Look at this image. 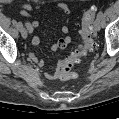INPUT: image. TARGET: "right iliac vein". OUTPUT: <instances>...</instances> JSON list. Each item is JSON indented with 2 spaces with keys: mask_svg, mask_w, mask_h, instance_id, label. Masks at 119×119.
Returning <instances> with one entry per match:
<instances>
[{
  "mask_svg": "<svg viewBox=\"0 0 119 119\" xmlns=\"http://www.w3.org/2000/svg\"><path fill=\"white\" fill-rule=\"evenodd\" d=\"M20 32H21V36H22L24 39H26L27 36H28L27 30H26L24 27H22L21 30H20Z\"/></svg>",
  "mask_w": 119,
  "mask_h": 119,
  "instance_id": "obj_1",
  "label": "right iliac vein"
}]
</instances>
